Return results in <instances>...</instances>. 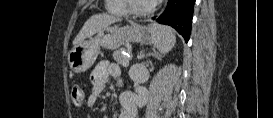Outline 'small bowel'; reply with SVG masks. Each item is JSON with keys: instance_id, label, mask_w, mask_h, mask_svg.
Listing matches in <instances>:
<instances>
[{"instance_id": "small-bowel-1", "label": "small bowel", "mask_w": 273, "mask_h": 118, "mask_svg": "<svg viewBox=\"0 0 273 118\" xmlns=\"http://www.w3.org/2000/svg\"><path fill=\"white\" fill-rule=\"evenodd\" d=\"M109 78L120 81L121 70L118 66L110 64L108 61H101L90 75L92 90L89 94L86 105L93 107L96 105L98 98L106 88ZM123 110L119 118H136L137 108L132 95H123L121 97Z\"/></svg>"}]
</instances>
